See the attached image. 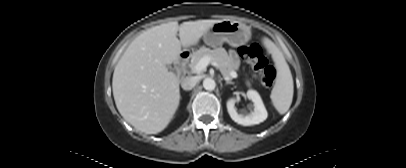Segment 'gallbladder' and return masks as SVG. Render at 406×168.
Instances as JSON below:
<instances>
[{
	"instance_id": "obj_1",
	"label": "gallbladder",
	"mask_w": 406,
	"mask_h": 168,
	"mask_svg": "<svg viewBox=\"0 0 406 168\" xmlns=\"http://www.w3.org/2000/svg\"><path fill=\"white\" fill-rule=\"evenodd\" d=\"M168 69L172 70V67L170 65L167 66Z\"/></svg>"
}]
</instances>
